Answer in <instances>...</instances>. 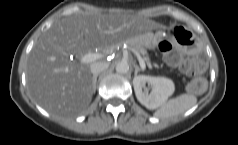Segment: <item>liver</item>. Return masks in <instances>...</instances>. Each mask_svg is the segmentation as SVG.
<instances>
[{
  "label": "liver",
  "instance_id": "1",
  "mask_svg": "<svg viewBox=\"0 0 238 145\" xmlns=\"http://www.w3.org/2000/svg\"><path fill=\"white\" fill-rule=\"evenodd\" d=\"M160 27L152 20L120 12L77 11L55 21L29 55L26 80L31 95L55 116L84 112L94 93L90 64L75 63L69 55L101 49L105 56L109 47Z\"/></svg>",
  "mask_w": 238,
  "mask_h": 145
}]
</instances>
